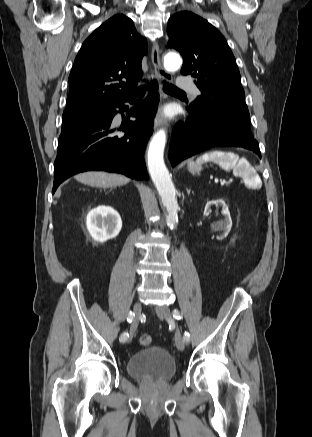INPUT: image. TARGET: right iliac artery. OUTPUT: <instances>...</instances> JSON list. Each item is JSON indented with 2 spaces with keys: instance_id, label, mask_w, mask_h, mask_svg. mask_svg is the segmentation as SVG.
<instances>
[{
  "instance_id": "82829eb1",
  "label": "right iliac artery",
  "mask_w": 312,
  "mask_h": 437,
  "mask_svg": "<svg viewBox=\"0 0 312 437\" xmlns=\"http://www.w3.org/2000/svg\"><path fill=\"white\" fill-rule=\"evenodd\" d=\"M133 319H134V314H133L132 312H130V313L128 314L127 321H128L129 323H131V322L133 321ZM128 337H129V334H128L127 332H124V333L121 334V336H120V342H126L127 339H128Z\"/></svg>"
}]
</instances>
